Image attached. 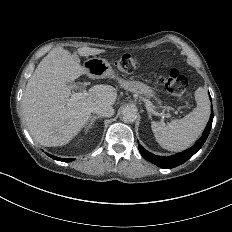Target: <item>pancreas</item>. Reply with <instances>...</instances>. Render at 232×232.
<instances>
[{
  "mask_svg": "<svg viewBox=\"0 0 232 232\" xmlns=\"http://www.w3.org/2000/svg\"><path fill=\"white\" fill-rule=\"evenodd\" d=\"M146 98H149V97H148V96H145V97L140 96V99H141V100L146 99ZM159 103H160V101H159ZM170 109H171V107H166V110H170Z\"/></svg>",
  "mask_w": 232,
  "mask_h": 232,
  "instance_id": "pancreas-1",
  "label": "pancreas"
}]
</instances>
